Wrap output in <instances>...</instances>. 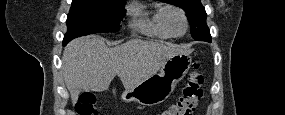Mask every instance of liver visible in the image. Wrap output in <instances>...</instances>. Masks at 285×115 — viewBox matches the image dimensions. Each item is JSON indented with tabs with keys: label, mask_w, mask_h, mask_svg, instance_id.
Returning <instances> with one entry per match:
<instances>
[{
	"label": "liver",
	"mask_w": 285,
	"mask_h": 115,
	"mask_svg": "<svg viewBox=\"0 0 285 115\" xmlns=\"http://www.w3.org/2000/svg\"><path fill=\"white\" fill-rule=\"evenodd\" d=\"M190 51L138 39L108 48L103 38L88 36L75 39L65 47L62 72L75 104L81 91H105L116 75L125 89H132L156 74L169 58Z\"/></svg>",
	"instance_id": "1"
}]
</instances>
